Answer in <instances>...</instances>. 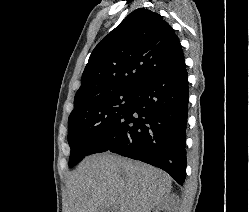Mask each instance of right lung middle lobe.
<instances>
[{"instance_id":"right-lung-middle-lobe-1","label":"right lung middle lobe","mask_w":249,"mask_h":212,"mask_svg":"<svg viewBox=\"0 0 249 212\" xmlns=\"http://www.w3.org/2000/svg\"><path fill=\"white\" fill-rule=\"evenodd\" d=\"M135 92H114L74 108L68 119L69 167L78 164L132 104Z\"/></svg>"}]
</instances>
